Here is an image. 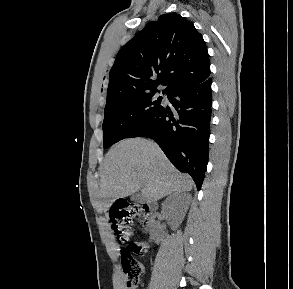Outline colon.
Returning <instances> with one entry per match:
<instances>
[{
	"label": "colon",
	"mask_w": 293,
	"mask_h": 289,
	"mask_svg": "<svg viewBox=\"0 0 293 289\" xmlns=\"http://www.w3.org/2000/svg\"><path fill=\"white\" fill-rule=\"evenodd\" d=\"M144 211L142 205L115 202L110 209L109 220L114 233L121 242H128L131 238V224L134 218ZM147 253V244L142 241L130 242L127 249L121 251L123 269L129 286L136 287L144 273L143 264L133 255L143 256Z\"/></svg>",
	"instance_id": "obj_1"
}]
</instances>
